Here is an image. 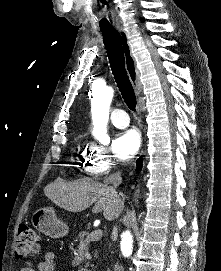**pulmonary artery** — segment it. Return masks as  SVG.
<instances>
[{
	"label": "pulmonary artery",
	"mask_w": 221,
	"mask_h": 271,
	"mask_svg": "<svg viewBox=\"0 0 221 271\" xmlns=\"http://www.w3.org/2000/svg\"><path fill=\"white\" fill-rule=\"evenodd\" d=\"M126 112H111L112 125L123 129L129 126V117Z\"/></svg>",
	"instance_id": "pulmonary-artery-1"
}]
</instances>
